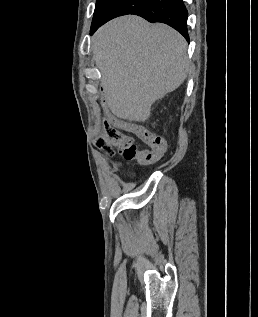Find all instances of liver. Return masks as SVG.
Wrapping results in <instances>:
<instances>
[{
    "label": "liver",
    "instance_id": "liver-1",
    "mask_svg": "<svg viewBox=\"0 0 258 317\" xmlns=\"http://www.w3.org/2000/svg\"><path fill=\"white\" fill-rule=\"evenodd\" d=\"M92 46L107 104L125 120H147L153 102L187 76V42L168 24L119 16L98 28Z\"/></svg>",
    "mask_w": 258,
    "mask_h": 317
}]
</instances>
